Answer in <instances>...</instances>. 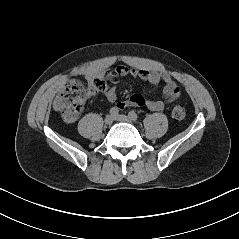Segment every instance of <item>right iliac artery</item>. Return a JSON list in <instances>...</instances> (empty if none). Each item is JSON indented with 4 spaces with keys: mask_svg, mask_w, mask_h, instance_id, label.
Here are the masks:
<instances>
[{
    "mask_svg": "<svg viewBox=\"0 0 239 239\" xmlns=\"http://www.w3.org/2000/svg\"><path fill=\"white\" fill-rule=\"evenodd\" d=\"M112 116H116L119 113V110L116 107H112L109 111Z\"/></svg>",
    "mask_w": 239,
    "mask_h": 239,
    "instance_id": "82829eb1",
    "label": "right iliac artery"
}]
</instances>
